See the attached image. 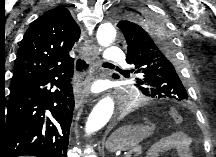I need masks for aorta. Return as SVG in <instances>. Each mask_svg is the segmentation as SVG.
I'll return each mask as SVG.
<instances>
[{
  "mask_svg": "<svg viewBox=\"0 0 216 157\" xmlns=\"http://www.w3.org/2000/svg\"><path fill=\"white\" fill-rule=\"evenodd\" d=\"M116 37V30L111 23H103L97 30V41L99 45L108 47ZM114 112V101L110 96L100 100L90 113L85 131L91 134L103 128L111 119Z\"/></svg>",
  "mask_w": 216,
  "mask_h": 157,
  "instance_id": "762f6f07",
  "label": "aorta"
}]
</instances>
